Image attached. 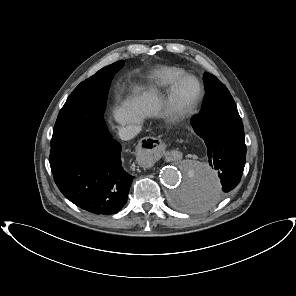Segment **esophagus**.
Here are the masks:
<instances>
[{"mask_svg":"<svg viewBox=\"0 0 296 296\" xmlns=\"http://www.w3.org/2000/svg\"><path fill=\"white\" fill-rule=\"evenodd\" d=\"M166 145L157 138H145L137 149V162L143 168L158 163L163 156Z\"/></svg>","mask_w":296,"mask_h":296,"instance_id":"obj_1","label":"esophagus"}]
</instances>
